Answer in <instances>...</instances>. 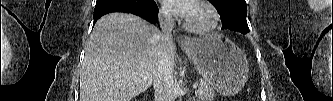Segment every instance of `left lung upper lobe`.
Masks as SVG:
<instances>
[{
  "label": "left lung upper lobe",
  "mask_w": 333,
  "mask_h": 101,
  "mask_svg": "<svg viewBox=\"0 0 333 101\" xmlns=\"http://www.w3.org/2000/svg\"><path fill=\"white\" fill-rule=\"evenodd\" d=\"M219 13L222 23L229 24L230 30L239 31L242 27H248L246 16L247 7L240 0H209Z\"/></svg>",
  "instance_id": "left-lung-upper-lobe-1"
}]
</instances>
